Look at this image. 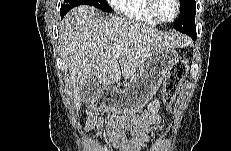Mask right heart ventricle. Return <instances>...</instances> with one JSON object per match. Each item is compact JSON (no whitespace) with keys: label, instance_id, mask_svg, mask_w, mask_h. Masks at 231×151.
Masks as SVG:
<instances>
[{"label":"right heart ventricle","instance_id":"right-heart-ventricle-1","mask_svg":"<svg viewBox=\"0 0 231 151\" xmlns=\"http://www.w3.org/2000/svg\"><path fill=\"white\" fill-rule=\"evenodd\" d=\"M147 2L148 0H120L115 8L128 22L158 25L159 22L148 11Z\"/></svg>","mask_w":231,"mask_h":151}]
</instances>
